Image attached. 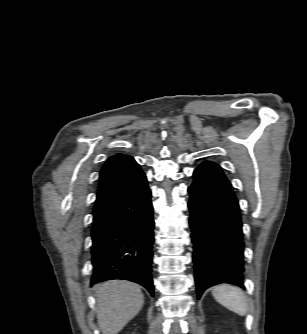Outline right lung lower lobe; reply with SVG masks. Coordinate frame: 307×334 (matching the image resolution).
I'll return each mask as SVG.
<instances>
[{"label": "right lung lower lobe", "instance_id": "1", "mask_svg": "<svg viewBox=\"0 0 307 334\" xmlns=\"http://www.w3.org/2000/svg\"><path fill=\"white\" fill-rule=\"evenodd\" d=\"M145 174L114 195L97 202L92 223L91 285L126 279L154 295L151 277L153 207Z\"/></svg>", "mask_w": 307, "mask_h": 334}]
</instances>
